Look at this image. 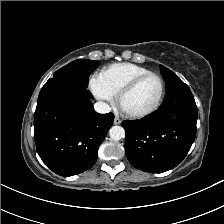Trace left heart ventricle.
<instances>
[{"label":"left heart ventricle","instance_id":"b2bd125f","mask_svg":"<svg viewBox=\"0 0 224 224\" xmlns=\"http://www.w3.org/2000/svg\"><path fill=\"white\" fill-rule=\"evenodd\" d=\"M159 93V81L154 77L147 78L124 96L122 108L129 113L145 111L154 105Z\"/></svg>","mask_w":224,"mask_h":224}]
</instances>
